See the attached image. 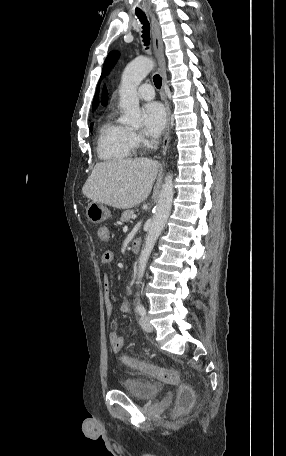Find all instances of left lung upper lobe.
<instances>
[{"mask_svg": "<svg viewBox=\"0 0 286 456\" xmlns=\"http://www.w3.org/2000/svg\"><path fill=\"white\" fill-rule=\"evenodd\" d=\"M118 55L119 54L116 51H112L111 53H109V55L104 63V66H103L102 77L108 72V68L110 67V65H113L117 61ZM98 92H99V85L97 87V92H96L94 100H93V104H92L93 109H95L99 103Z\"/></svg>", "mask_w": 286, "mask_h": 456, "instance_id": "obj_1", "label": "left lung upper lobe"}]
</instances>
